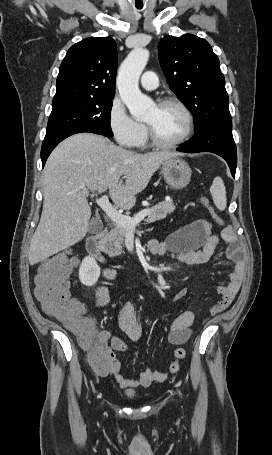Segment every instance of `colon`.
<instances>
[{
  "mask_svg": "<svg viewBox=\"0 0 272 455\" xmlns=\"http://www.w3.org/2000/svg\"><path fill=\"white\" fill-rule=\"evenodd\" d=\"M201 202L214 221L222 226L224 222L210 201L202 198ZM73 264L69 250L61 251L42 263L35 277V296L47 314L81 339L89 350L91 364L101 369L109 364L110 352L101 341L95 340L94 325L83 316L82 304L70 297L68 280Z\"/></svg>",
  "mask_w": 272,
  "mask_h": 455,
  "instance_id": "5ec220e1",
  "label": "colon"
}]
</instances>
